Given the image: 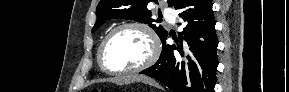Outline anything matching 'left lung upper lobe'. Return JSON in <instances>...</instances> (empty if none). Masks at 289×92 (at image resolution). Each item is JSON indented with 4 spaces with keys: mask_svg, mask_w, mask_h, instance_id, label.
<instances>
[{
    "mask_svg": "<svg viewBox=\"0 0 289 92\" xmlns=\"http://www.w3.org/2000/svg\"><path fill=\"white\" fill-rule=\"evenodd\" d=\"M157 0H101L96 8L97 21L92 32L100 28L108 19L123 18L148 24L162 40L168 33L160 25L152 24L151 12L147 9L149 2ZM177 0H167L168 6H174Z\"/></svg>",
    "mask_w": 289,
    "mask_h": 92,
    "instance_id": "5c2ea615",
    "label": "left lung upper lobe"
}]
</instances>
